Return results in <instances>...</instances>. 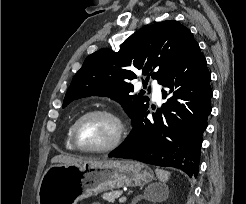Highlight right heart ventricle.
<instances>
[{"label": "right heart ventricle", "instance_id": "right-heart-ventricle-1", "mask_svg": "<svg viewBox=\"0 0 246 204\" xmlns=\"http://www.w3.org/2000/svg\"><path fill=\"white\" fill-rule=\"evenodd\" d=\"M72 125L73 123L69 126L68 130H67V134H66V139H65V145L68 149H75L72 141H71V129H72Z\"/></svg>", "mask_w": 246, "mask_h": 204}]
</instances>
